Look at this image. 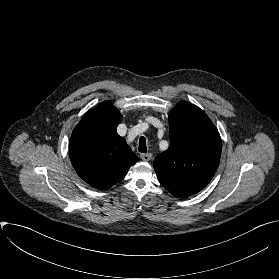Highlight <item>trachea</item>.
I'll list each match as a JSON object with an SVG mask.
<instances>
[{
  "label": "trachea",
  "instance_id": "obj_1",
  "mask_svg": "<svg viewBox=\"0 0 279 279\" xmlns=\"http://www.w3.org/2000/svg\"><path fill=\"white\" fill-rule=\"evenodd\" d=\"M139 152L146 153L147 152V146H146V138L144 136H141L139 139Z\"/></svg>",
  "mask_w": 279,
  "mask_h": 279
}]
</instances>
